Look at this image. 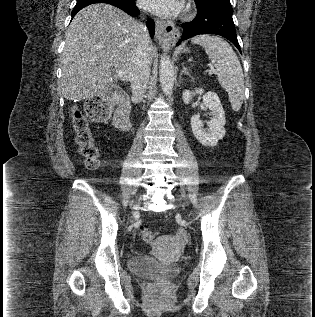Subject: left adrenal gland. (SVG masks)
<instances>
[{"mask_svg": "<svg viewBox=\"0 0 315 317\" xmlns=\"http://www.w3.org/2000/svg\"><path fill=\"white\" fill-rule=\"evenodd\" d=\"M182 74L188 75L193 80V77L190 75L188 68L185 66L182 67V71L180 73V79H181Z\"/></svg>", "mask_w": 315, "mask_h": 317, "instance_id": "obj_1", "label": "left adrenal gland"}]
</instances>
